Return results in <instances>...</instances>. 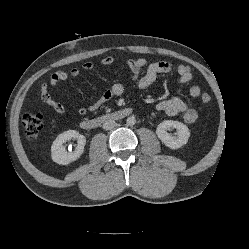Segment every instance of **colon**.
<instances>
[{
    "label": "colon",
    "instance_id": "1",
    "mask_svg": "<svg viewBox=\"0 0 249 249\" xmlns=\"http://www.w3.org/2000/svg\"><path fill=\"white\" fill-rule=\"evenodd\" d=\"M200 97L205 103L209 102L211 99V96L207 91L202 92ZM43 118V114L40 112L31 111L23 115L22 125L24 133L28 138L35 139L38 137L43 128Z\"/></svg>",
    "mask_w": 249,
    "mask_h": 249
}]
</instances>
